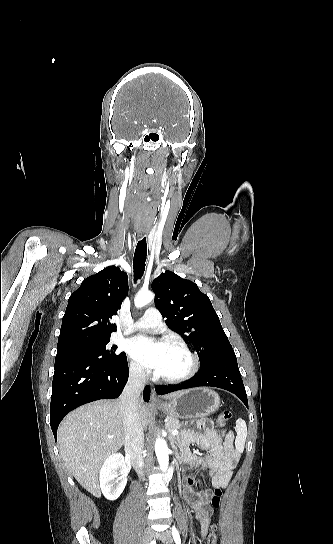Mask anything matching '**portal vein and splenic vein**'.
<instances>
[{"instance_id": "portal-vein-and-splenic-vein-1", "label": "portal vein and splenic vein", "mask_w": 333, "mask_h": 544, "mask_svg": "<svg viewBox=\"0 0 333 544\" xmlns=\"http://www.w3.org/2000/svg\"><path fill=\"white\" fill-rule=\"evenodd\" d=\"M172 434H173V435H177V434H178V431H177V430H173V431H172Z\"/></svg>"}]
</instances>
